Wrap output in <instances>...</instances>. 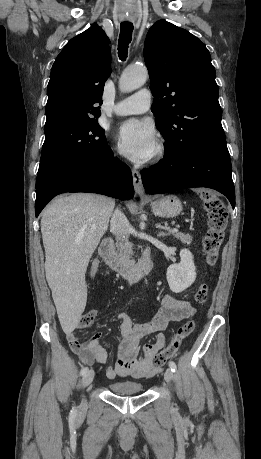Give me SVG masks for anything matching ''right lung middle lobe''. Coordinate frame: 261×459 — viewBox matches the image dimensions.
Here are the masks:
<instances>
[{
    "mask_svg": "<svg viewBox=\"0 0 261 459\" xmlns=\"http://www.w3.org/2000/svg\"><path fill=\"white\" fill-rule=\"evenodd\" d=\"M44 131L36 181L71 163L104 159L110 150L97 120L60 124Z\"/></svg>",
    "mask_w": 261,
    "mask_h": 459,
    "instance_id": "right-lung-middle-lobe-1",
    "label": "right lung middle lobe"
}]
</instances>
